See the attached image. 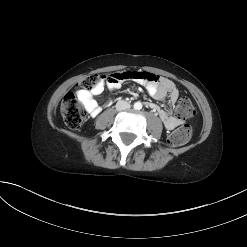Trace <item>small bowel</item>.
<instances>
[{
  "mask_svg": "<svg viewBox=\"0 0 247 247\" xmlns=\"http://www.w3.org/2000/svg\"><path fill=\"white\" fill-rule=\"evenodd\" d=\"M106 85L109 89H119L121 84H124L127 79H133L134 81L144 85L148 93L157 100H168V103L173 105L178 97L179 91L175 84L167 78L157 76L148 70H117L113 73L106 75ZM105 82L102 79L93 89L84 90L77 89L76 96L85 106L91 116L95 117L101 112V105L97 101V97L100 96L104 90ZM148 107L157 112L161 118L164 126L168 130H172L180 125V120L173 116L170 112L160 108L159 106L149 103Z\"/></svg>",
  "mask_w": 247,
  "mask_h": 247,
  "instance_id": "obj_1",
  "label": "small bowel"
}]
</instances>
